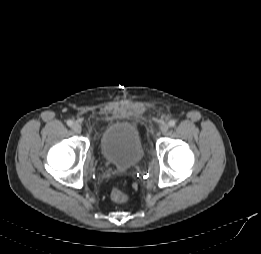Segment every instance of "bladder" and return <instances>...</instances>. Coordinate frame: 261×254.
<instances>
[{"label": "bladder", "instance_id": "obj_1", "mask_svg": "<svg viewBox=\"0 0 261 254\" xmlns=\"http://www.w3.org/2000/svg\"><path fill=\"white\" fill-rule=\"evenodd\" d=\"M100 150L104 160L119 170L133 168L144 155L137 127L127 122H117L105 129Z\"/></svg>", "mask_w": 261, "mask_h": 254}]
</instances>
